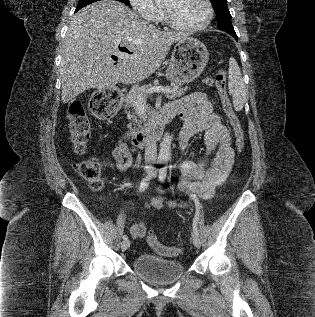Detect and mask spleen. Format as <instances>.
Masks as SVG:
<instances>
[{"label":"spleen","mask_w":315,"mask_h":317,"mask_svg":"<svg viewBox=\"0 0 315 317\" xmlns=\"http://www.w3.org/2000/svg\"><path fill=\"white\" fill-rule=\"evenodd\" d=\"M228 88L233 97V106L236 111H241L247 99V89L237 61L229 59Z\"/></svg>","instance_id":"3e777b00"}]
</instances>
